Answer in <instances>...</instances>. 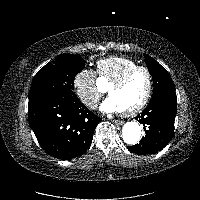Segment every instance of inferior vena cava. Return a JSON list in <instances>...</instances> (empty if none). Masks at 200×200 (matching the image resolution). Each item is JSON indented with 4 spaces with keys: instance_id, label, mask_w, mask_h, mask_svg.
<instances>
[{
    "instance_id": "obj_1",
    "label": "inferior vena cava",
    "mask_w": 200,
    "mask_h": 200,
    "mask_svg": "<svg viewBox=\"0 0 200 200\" xmlns=\"http://www.w3.org/2000/svg\"><path fill=\"white\" fill-rule=\"evenodd\" d=\"M84 103L89 106L90 108L97 107L98 99L97 98H88L84 101Z\"/></svg>"
}]
</instances>
